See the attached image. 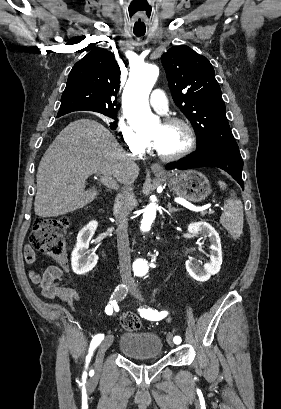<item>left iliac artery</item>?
I'll return each mask as SVG.
<instances>
[{
    "instance_id": "1",
    "label": "left iliac artery",
    "mask_w": 281,
    "mask_h": 409,
    "mask_svg": "<svg viewBox=\"0 0 281 409\" xmlns=\"http://www.w3.org/2000/svg\"><path fill=\"white\" fill-rule=\"evenodd\" d=\"M139 313L142 317L148 320H161L168 314L166 311L158 312L157 310H153L151 308L148 309L141 308L139 309ZM173 340L175 344H179L181 342V337L175 336Z\"/></svg>"
}]
</instances>
